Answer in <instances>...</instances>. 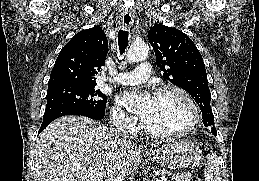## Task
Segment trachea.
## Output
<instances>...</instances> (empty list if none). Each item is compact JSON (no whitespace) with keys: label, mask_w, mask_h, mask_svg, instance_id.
I'll list each match as a JSON object with an SVG mask.
<instances>
[{"label":"trachea","mask_w":259,"mask_h":181,"mask_svg":"<svg viewBox=\"0 0 259 181\" xmlns=\"http://www.w3.org/2000/svg\"><path fill=\"white\" fill-rule=\"evenodd\" d=\"M129 43V33L126 30H119L118 32V46L120 54L123 55Z\"/></svg>","instance_id":"trachea-1"}]
</instances>
